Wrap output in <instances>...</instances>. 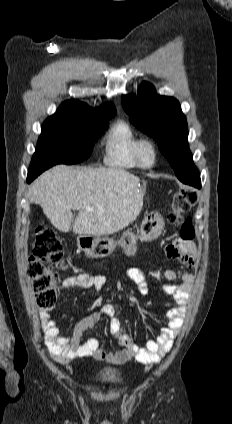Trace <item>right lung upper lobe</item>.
Returning <instances> with one entry per match:
<instances>
[{"instance_id":"obj_1","label":"right lung upper lobe","mask_w":232,"mask_h":424,"mask_svg":"<svg viewBox=\"0 0 232 424\" xmlns=\"http://www.w3.org/2000/svg\"><path fill=\"white\" fill-rule=\"evenodd\" d=\"M56 113L76 115L92 120H103L115 115L116 109L112 103H108L101 108L92 109L83 102L68 100L61 104Z\"/></svg>"}]
</instances>
